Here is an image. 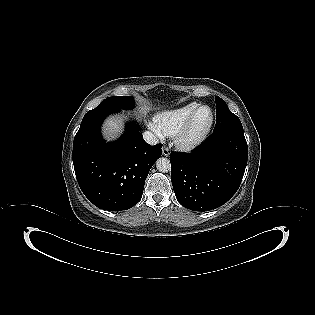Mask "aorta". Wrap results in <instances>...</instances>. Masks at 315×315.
<instances>
[{"instance_id": "762f6f07", "label": "aorta", "mask_w": 315, "mask_h": 315, "mask_svg": "<svg viewBox=\"0 0 315 315\" xmlns=\"http://www.w3.org/2000/svg\"><path fill=\"white\" fill-rule=\"evenodd\" d=\"M156 168L158 171L160 172H169L170 169H171V163H170V160L167 159V158H159L157 161H156Z\"/></svg>"}]
</instances>
